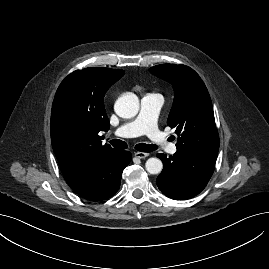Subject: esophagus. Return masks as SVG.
I'll return each instance as SVG.
<instances>
[{"instance_id": "1", "label": "esophagus", "mask_w": 269, "mask_h": 269, "mask_svg": "<svg viewBox=\"0 0 269 269\" xmlns=\"http://www.w3.org/2000/svg\"><path fill=\"white\" fill-rule=\"evenodd\" d=\"M134 156L136 158H139V159H143V158H146L149 156V153H145V152H135L134 153Z\"/></svg>"}]
</instances>
